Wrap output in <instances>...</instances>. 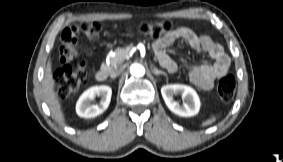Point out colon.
Segmentation results:
<instances>
[{"label": "colon", "mask_w": 283, "mask_h": 162, "mask_svg": "<svg viewBox=\"0 0 283 162\" xmlns=\"http://www.w3.org/2000/svg\"><path fill=\"white\" fill-rule=\"evenodd\" d=\"M101 24L96 21L84 22L79 25L66 27L60 36L59 60L61 67L54 74L57 95L67 98L76 93L86 83L87 71L84 62H79L75 67L71 63L78 58L77 41L83 36L89 40H97L101 33ZM173 23L169 20L144 22L139 30L150 38H159L170 33ZM236 92V80L232 75L222 77L217 85L218 98L223 102L233 99Z\"/></svg>", "instance_id": "1"}]
</instances>
